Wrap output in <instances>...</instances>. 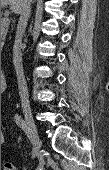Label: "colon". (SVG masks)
Returning <instances> with one entry per match:
<instances>
[{
    "label": "colon",
    "mask_w": 109,
    "mask_h": 170,
    "mask_svg": "<svg viewBox=\"0 0 109 170\" xmlns=\"http://www.w3.org/2000/svg\"><path fill=\"white\" fill-rule=\"evenodd\" d=\"M4 170H21L18 167L12 165V164H5L4 165Z\"/></svg>",
    "instance_id": "colon-1"
}]
</instances>
